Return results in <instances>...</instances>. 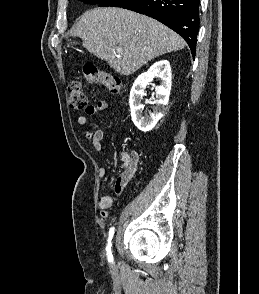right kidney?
<instances>
[{
	"mask_svg": "<svg viewBox=\"0 0 259 294\" xmlns=\"http://www.w3.org/2000/svg\"><path fill=\"white\" fill-rule=\"evenodd\" d=\"M155 77L161 79V84L155 88L156 106L153 108L150 116L144 117L142 113L144 106L141 103L142 97L144 96V88ZM171 79L172 74L169 61L160 60L151 65L147 72L139 75L134 81L130 92L129 103L132 121L139 130L143 132L152 130L164 116L170 96Z\"/></svg>",
	"mask_w": 259,
	"mask_h": 294,
	"instance_id": "obj_1",
	"label": "right kidney"
}]
</instances>
